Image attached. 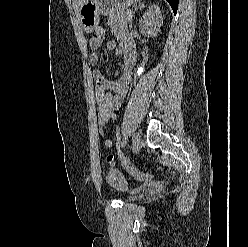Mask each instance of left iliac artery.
I'll return each mask as SVG.
<instances>
[{
    "mask_svg": "<svg viewBox=\"0 0 248 247\" xmlns=\"http://www.w3.org/2000/svg\"><path fill=\"white\" fill-rule=\"evenodd\" d=\"M126 144V138L122 141V147H124Z\"/></svg>",
    "mask_w": 248,
    "mask_h": 247,
    "instance_id": "1",
    "label": "left iliac artery"
}]
</instances>
